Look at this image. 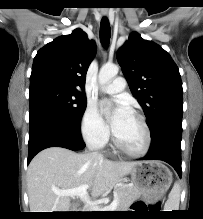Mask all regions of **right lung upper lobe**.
<instances>
[{
	"mask_svg": "<svg viewBox=\"0 0 203 219\" xmlns=\"http://www.w3.org/2000/svg\"><path fill=\"white\" fill-rule=\"evenodd\" d=\"M95 53L94 41L80 28L60 36L37 52L30 84L49 82L77 91L84 89L86 73Z\"/></svg>",
	"mask_w": 203,
	"mask_h": 219,
	"instance_id": "cb5924a9",
	"label": "right lung upper lobe"
}]
</instances>
